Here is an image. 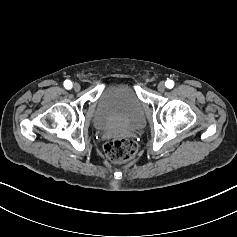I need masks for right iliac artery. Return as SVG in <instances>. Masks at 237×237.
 Returning <instances> with one entry per match:
<instances>
[{
    "label": "right iliac artery",
    "instance_id": "obj_1",
    "mask_svg": "<svg viewBox=\"0 0 237 237\" xmlns=\"http://www.w3.org/2000/svg\"><path fill=\"white\" fill-rule=\"evenodd\" d=\"M64 87L68 90L71 89L72 88V82L70 80H65L64 81Z\"/></svg>",
    "mask_w": 237,
    "mask_h": 237
}]
</instances>
